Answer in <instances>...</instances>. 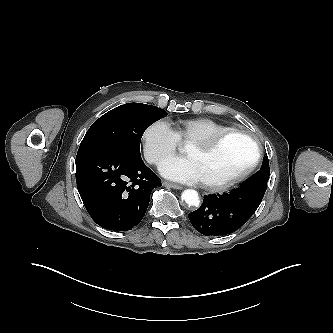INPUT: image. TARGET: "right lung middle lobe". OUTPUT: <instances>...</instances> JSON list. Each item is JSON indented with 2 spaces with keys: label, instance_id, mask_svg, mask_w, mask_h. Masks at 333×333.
<instances>
[{
  "label": "right lung middle lobe",
  "instance_id": "right-lung-middle-lobe-1",
  "mask_svg": "<svg viewBox=\"0 0 333 333\" xmlns=\"http://www.w3.org/2000/svg\"><path fill=\"white\" fill-rule=\"evenodd\" d=\"M166 115L164 109L152 105L127 103L118 106L94 122L79 149L107 147L141 157L140 141L144 131Z\"/></svg>",
  "mask_w": 333,
  "mask_h": 333
}]
</instances>
